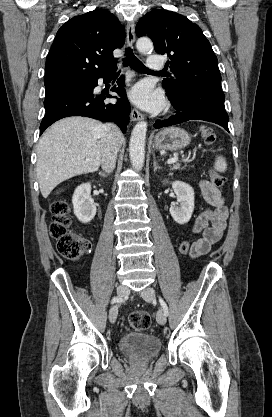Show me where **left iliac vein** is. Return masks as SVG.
Instances as JSON below:
<instances>
[{
    "mask_svg": "<svg viewBox=\"0 0 272 417\" xmlns=\"http://www.w3.org/2000/svg\"><path fill=\"white\" fill-rule=\"evenodd\" d=\"M142 298L147 302H153L155 300V290L152 287H147L141 292ZM156 320L160 325L166 323V316L162 310H159L156 315Z\"/></svg>",
    "mask_w": 272,
    "mask_h": 417,
    "instance_id": "4c4485c4",
    "label": "left iliac vein"
}]
</instances>
